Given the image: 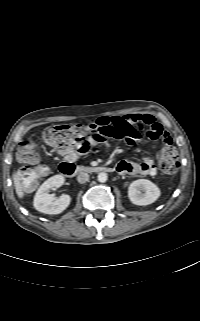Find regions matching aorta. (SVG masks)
<instances>
[{"label": "aorta", "mask_w": 200, "mask_h": 321, "mask_svg": "<svg viewBox=\"0 0 200 321\" xmlns=\"http://www.w3.org/2000/svg\"><path fill=\"white\" fill-rule=\"evenodd\" d=\"M97 178H98V181H99V182L104 183V182L107 181L108 176H107L106 173L101 172V173L98 174Z\"/></svg>", "instance_id": "obj_1"}]
</instances>
